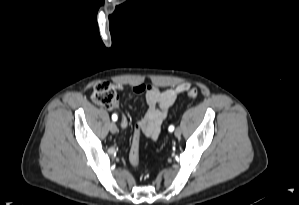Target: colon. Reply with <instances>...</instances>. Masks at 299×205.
<instances>
[{
	"mask_svg": "<svg viewBox=\"0 0 299 205\" xmlns=\"http://www.w3.org/2000/svg\"><path fill=\"white\" fill-rule=\"evenodd\" d=\"M187 94L191 98L198 96V91L195 88H189ZM92 100L108 109L115 108L119 103V96L115 87L107 81H99L94 84L92 89ZM135 137L132 140L129 160L130 163L137 167L139 165V147H140V136L138 134V127L136 126Z\"/></svg>",
	"mask_w": 299,
	"mask_h": 205,
	"instance_id": "5ec220e1",
	"label": "colon"
}]
</instances>
